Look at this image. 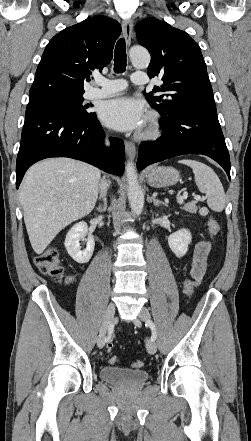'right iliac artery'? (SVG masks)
Here are the masks:
<instances>
[{
	"label": "right iliac artery",
	"mask_w": 251,
	"mask_h": 441,
	"mask_svg": "<svg viewBox=\"0 0 251 441\" xmlns=\"http://www.w3.org/2000/svg\"><path fill=\"white\" fill-rule=\"evenodd\" d=\"M113 330H114L113 325H110L108 328V335L105 337V342H108L110 340Z\"/></svg>",
	"instance_id": "82829eb1"
}]
</instances>
